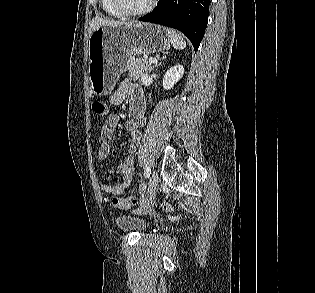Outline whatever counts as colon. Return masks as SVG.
I'll list each match as a JSON object with an SVG mask.
<instances>
[{"instance_id": "colon-1", "label": "colon", "mask_w": 315, "mask_h": 293, "mask_svg": "<svg viewBox=\"0 0 315 293\" xmlns=\"http://www.w3.org/2000/svg\"><path fill=\"white\" fill-rule=\"evenodd\" d=\"M92 110L98 116H106L108 114V107L105 102L96 100L92 103ZM114 208L127 210L138 203V199L134 196H128L124 198L106 199ZM165 210H171V205L162 204Z\"/></svg>"}]
</instances>
